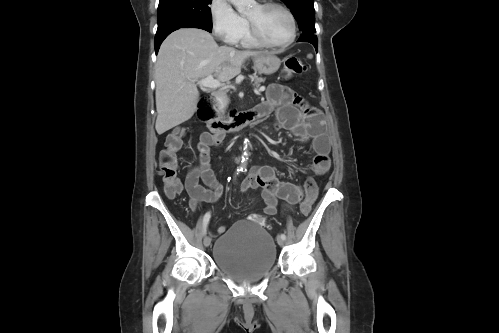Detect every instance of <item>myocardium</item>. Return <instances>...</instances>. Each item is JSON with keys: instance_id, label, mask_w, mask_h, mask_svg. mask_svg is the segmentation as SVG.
I'll return each mask as SVG.
<instances>
[{"instance_id": "1", "label": "myocardium", "mask_w": 499, "mask_h": 333, "mask_svg": "<svg viewBox=\"0 0 499 333\" xmlns=\"http://www.w3.org/2000/svg\"><path fill=\"white\" fill-rule=\"evenodd\" d=\"M258 6L263 10L270 9V8L281 9L288 16V18L290 20L291 33H290L289 38L286 41L281 42V43H272V42L268 41L263 36V34L260 32L256 23H254L250 19L246 18L247 24H248V29H249V32H250V35L252 36V38L260 45H262L264 47H268V48H278L279 49V48H286V47L290 46L295 41L296 36H297V23H296V18L294 16V14L292 13V11L284 4L276 2V1H272V0L263 1L262 3H259Z\"/></svg>"}]
</instances>
